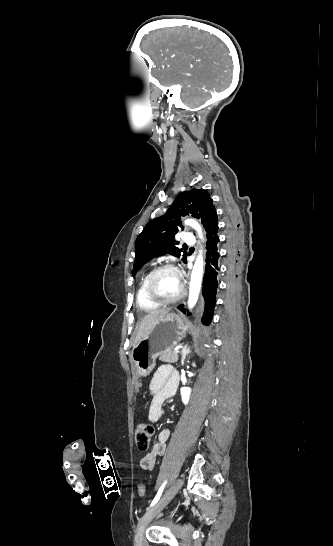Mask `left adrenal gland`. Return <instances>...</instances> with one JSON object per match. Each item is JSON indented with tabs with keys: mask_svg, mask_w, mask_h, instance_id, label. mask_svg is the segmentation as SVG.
I'll return each mask as SVG.
<instances>
[{
	"mask_svg": "<svg viewBox=\"0 0 333 546\" xmlns=\"http://www.w3.org/2000/svg\"><path fill=\"white\" fill-rule=\"evenodd\" d=\"M191 352L190 350V347L188 346V344L184 345L181 349V355H182V359H181V365L183 366L184 365V362H185V358L186 356Z\"/></svg>",
	"mask_w": 333,
	"mask_h": 546,
	"instance_id": "obj_1",
	"label": "left adrenal gland"
}]
</instances>
